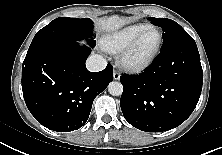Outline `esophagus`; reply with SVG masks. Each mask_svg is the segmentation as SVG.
Returning a JSON list of instances; mask_svg holds the SVG:
<instances>
[{
  "mask_svg": "<svg viewBox=\"0 0 222 155\" xmlns=\"http://www.w3.org/2000/svg\"><path fill=\"white\" fill-rule=\"evenodd\" d=\"M113 78H114V80L120 79V74L116 70L113 71Z\"/></svg>",
  "mask_w": 222,
  "mask_h": 155,
  "instance_id": "34e87169",
  "label": "esophagus"
}]
</instances>
